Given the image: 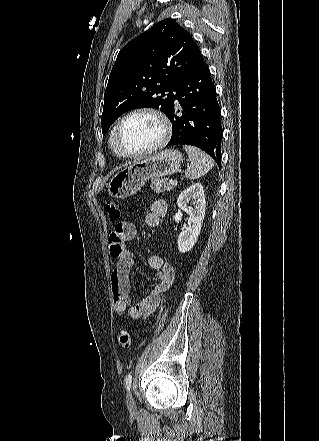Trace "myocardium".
I'll return each instance as SVG.
<instances>
[{
    "instance_id": "1",
    "label": "myocardium",
    "mask_w": 319,
    "mask_h": 441,
    "mask_svg": "<svg viewBox=\"0 0 319 441\" xmlns=\"http://www.w3.org/2000/svg\"><path fill=\"white\" fill-rule=\"evenodd\" d=\"M140 114H146L153 118H155L161 127V136L160 139L151 147L144 149L139 152L131 153L126 150H124L120 144V130L124 122L129 119L132 116L140 115ZM171 123L168 119V117L160 110L153 108V107H138L130 110L125 115H123L120 120L117 122L114 128V144L117 149V151L123 156L128 158H141L148 155H151L153 153L158 152L161 150L169 141L171 136Z\"/></svg>"
}]
</instances>
